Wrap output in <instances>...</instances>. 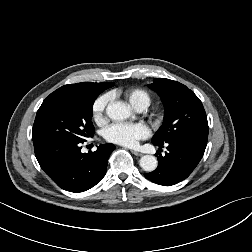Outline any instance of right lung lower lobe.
Here are the masks:
<instances>
[{"label": "right lung lower lobe", "instance_id": "obj_1", "mask_svg": "<svg viewBox=\"0 0 252 252\" xmlns=\"http://www.w3.org/2000/svg\"><path fill=\"white\" fill-rule=\"evenodd\" d=\"M34 150L43 171L62 189L83 192L105 175L113 144L100 145L95 152L81 153V143L65 140H42Z\"/></svg>", "mask_w": 252, "mask_h": 252}]
</instances>
